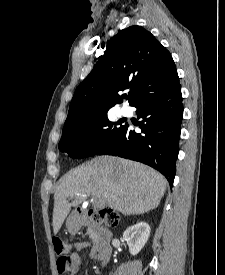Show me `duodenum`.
<instances>
[{
    "mask_svg": "<svg viewBox=\"0 0 225 275\" xmlns=\"http://www.w3.org/2000/svg\"><path fill=\"white\" fill-rule=\"evenodd\" d=\"M97 212L94 208L89 209L88 212H84L83 209H78L76 214L85 226L90 225L92 227L96 236L97 259L101 265L104 266L112 255L113 234L108 228L94 220Z\"/></svg>",
    "mask_w": 225,
    "mask_h": 275,
    "instance_id": "410a0bca",
    "label": "duodenum"
}]
</instances>
